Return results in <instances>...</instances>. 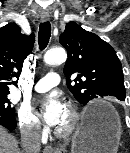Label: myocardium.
I'll return each instance as SVG.
<instances>
[{
    "instance_id": "obj_1",
    "label": "myocardium",
    "mask_w": 130,
    "mask_h": 153,
    "mask_svg": "<svg viewBox=\"0 0 130 153\" xmlns=\"http://www.w3.org/2000/svg\"><path fill=\"white\" fill-rule=\"evenodd\" d=\"M65 109L68 113V122L63 127L55 128L54 132L57 137L66 138L70 136L77 128L80 122V113L75 105L67 103Z\"/></svg>"
}]
</instances>
